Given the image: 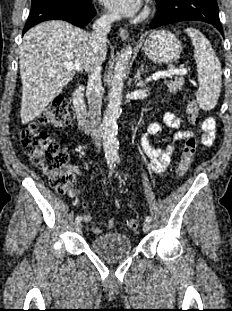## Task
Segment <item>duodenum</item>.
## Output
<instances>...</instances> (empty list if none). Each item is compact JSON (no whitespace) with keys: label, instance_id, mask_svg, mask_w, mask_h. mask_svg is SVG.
Here are the masks:
<instances>
[{"label":"duodenum","instance_id":"obj_1","mask_svg":"<svg viewBox=\"0 0 232 311\" xmlns=\"http://www.w3.org/2000/svg\"><path fill=\"white\" fill-rule=\"evenodd\" d=\"M85 87L80 85L72 93V102L78 123L85 130L91 127V120L84 102Z\"/></svg>","mask_w":232,"mask_h":311}]
</instances>
